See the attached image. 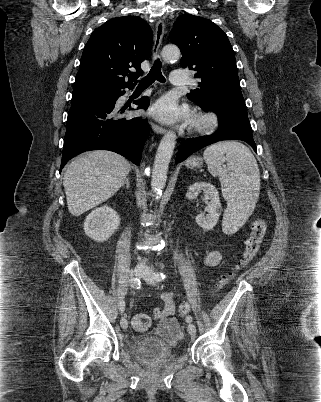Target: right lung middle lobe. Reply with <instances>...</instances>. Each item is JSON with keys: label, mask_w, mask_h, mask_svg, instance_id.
<instances>
[{"label": "right lung middle lobe", "mask_w": 321, "mask_h": 402, "mask_svg": "<svg viewBox=\"0 0 321 402\" xmlns=\"http://www.w3.org/2000/svg\"><path fill=\"white\" fill-rule=\"evenodd\" d=\"M113 92V88L102 85H78L74 86L72 99L92 97L105 99Z\"/></svg>", "instance_id": "obj_1"}]
</instances>
